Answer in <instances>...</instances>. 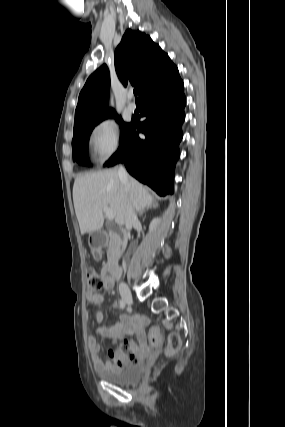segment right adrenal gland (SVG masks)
Segmentation results:
<instances>
[{
  "instance_id": "2a0ac1e0",
  "label": "right adrenal gland",
  "mask_w": 285,
  "mask_h": 427,
  "mask_svg": "<svg viewBox=\"0 0 285 427\" xmlns=\"http://www.w3.org/2000/svg\"><path fill=\"white\" fill-rule=\"evenodd\" d=\"M154 206H155V205H154ZM144 210H145V209H142V210L140 211V215H142V214H143Z\"/></svg>"
}]
</instances>
